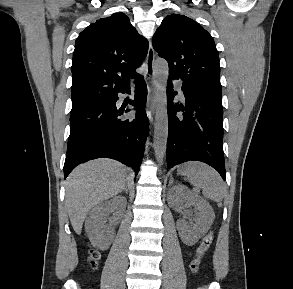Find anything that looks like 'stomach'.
<instances>
[{"mask_svg": "<svg viewBox=\"0 0 293 289\" xmlns=\"http://www.w3.org/2000/svg\"><path fill=\"white\" fill-rule=\"evenodd\" d=\"M178 173H179V174H182V175H185V168H184V166H180V167L178 168Z\"/></svg>", "mask_w": 293, "mask_h": 289, "instance_id": "0dacf381", "label": "stomach"}]
</instances>
